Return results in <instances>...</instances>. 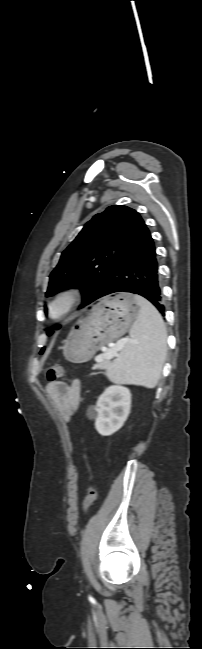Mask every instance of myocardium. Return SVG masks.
<instances>
[{
  "label": "myocardium",
  "instance_id": "1",
  "mask_svg": "<svg viewBox=\"0 0 202 649\" xmlns=\"http://www.w3.org/2000/svg\"><path fill=\"white\" fill-rule=\"evenodd\" d=\"M81 293L75 287L59 291L49 303V314L52 319L58 320L66 317L80 300Z\"/></svg>",
  "mask_w": 202,
  "mask_h": 649
}]
</instances>
